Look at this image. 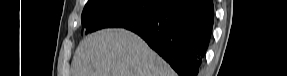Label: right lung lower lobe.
Segmentation results:
<instances>
[{
  "label": "right lung lower lobe",
  "mask_w": 287,
  "mask_h": 76,
  "mask_svg": "<svg viewBox=\"0 0 287 76\" xmlns=\"http://www.w3.org/2000/svg\"><path fill=\"white\" fill-rule=\"evenodd\" d=\"M213 19L212 0H163L148 20L126 29L143 38L179 76H197Z\"/></svg>",
  "instance_id": "98d812e1"
}]
</instances>
